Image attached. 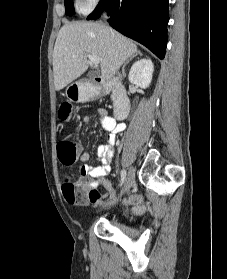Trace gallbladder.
<instances>
[{"instance_id": "gallbladder-1", "label": "gallbladder", "mask_w": 227, "mask_h": 279, "mask_svg": "<svg viewBox=\"0 0 227 279\" xmlns=\"http://www.w3.org/2000/svg\"><path fill=\"white\" fill-rule=\"evenodd\" d=\"M87 76L91 79L95 76V72H89Z\"/></svg>"}]
</instances>
